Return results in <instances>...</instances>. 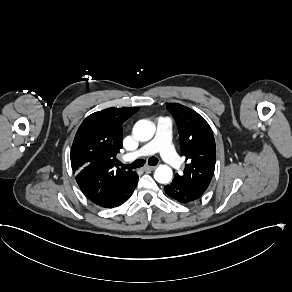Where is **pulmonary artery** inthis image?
Listing matches in <instances>:
<instances>
[{
	"label": "pulmonary artery",
	"instance_id": "pulmonary-artery-1",
	"mask_svg": "<svg viewBox=\"0 0 292 292\" xmlns=\"http://www.w3.org/2000/svg\"><path fill=\"white\" fill-rule=\"evenodd\" d=\"M173 120L170 117H163L159 121V128L162 130L159 139L144 145V148H138L131 151L132 159H140L145 156H151L153 151L161 148V157L169 166H176L179 163V156L175 153V145L173 144L172 128Z\"/></svg>",
	"mask_w": 292,
	"mask_h": 292
}]
</instances>
